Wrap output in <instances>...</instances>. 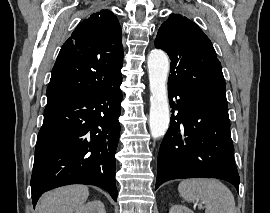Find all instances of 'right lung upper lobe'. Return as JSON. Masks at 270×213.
Returning a JSON list of instances; mask_svg holds the SVG:
<instances>
[{
	"label": "right lung upper lobe",
	"mask_w": 270,
	"mask_h": 213,
	"mask_svg": "<svg viewBox=\"0 0 270 213\" xmlns=\"http://www.w3.org/2000/svg\"><path fill=\"white\" fill-rule=\"evenodd\" d=\"M121 27L109 10L81 22L63 44L47 87V103L78 99L122 82Z\"/></svg>",
	"instance_id": "1"
}]
</instances>
